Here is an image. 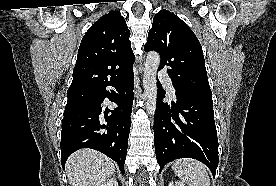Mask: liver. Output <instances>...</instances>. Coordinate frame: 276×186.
Instances as JSON below:
<instances>
[{
	"label": "liver",
	"instance_id": "liver-1",
	"mask_svg": "<svg viewBox=\"0 0 276 186\" xmlns=\"http://www.w3.org/2000/svg\"><path fill=\"white\" fill-rule=\"evenodd\" d=\"M114 171V161L93 149L78 150L66 162L71 186H102Z\"/></svg>",
	"mask_w": 276,
	"mask_h": 186
}]
</instances>
